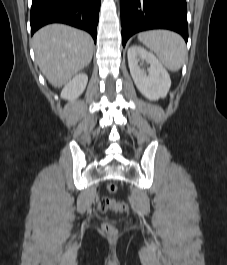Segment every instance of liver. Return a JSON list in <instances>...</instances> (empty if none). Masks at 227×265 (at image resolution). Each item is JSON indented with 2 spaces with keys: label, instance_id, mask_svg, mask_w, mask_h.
I'll use <instances>...</instances> for the list:
<instances>
[{
  "label": "liver",
  "instance_id": "obj_1",
  "mask_svg": "<svg viewBox=\"0 0 227 265\" xmlns=\"http://www.w3.org/2000/svg\"><path fill=\"white\" fill-rule=\"evenodd\" d=\"M32 41L41 72L56 88L67 84L92 59V37L67 25H47L34 34Z\"/></svg>",
  "mask_w": 227,
  "mask_h": 265
}]
</instances>
